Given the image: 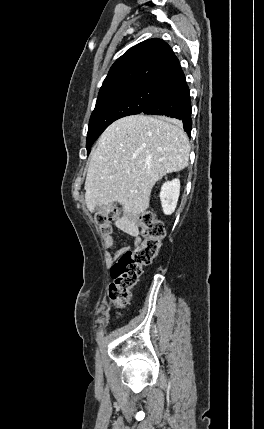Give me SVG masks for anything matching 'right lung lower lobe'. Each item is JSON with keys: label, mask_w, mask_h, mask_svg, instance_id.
<instances>
[{"label": "right lung lower lobe", "mask_w": 264, "mask_h": 429, "mask_svg": "<svg viewBox=\"0 0 264 429\" xmlns=\"http://www.w3.org/2000/svg\"><path fill=\"white\" fill-rule=\"evenodd\" d=\"M142 113L178 119L183 123L184 131L190 136L191 100L181 67L159 86Z\"/></svg>", "instance_id": "98d812e1"}]
</instances>
